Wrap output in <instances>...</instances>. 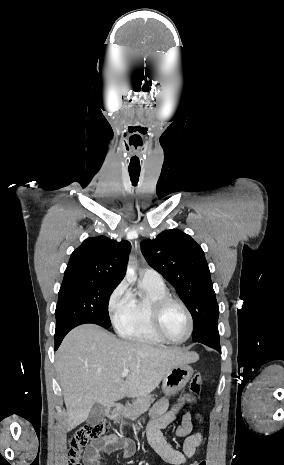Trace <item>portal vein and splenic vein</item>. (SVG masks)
Segmentation results:
<instances>
[{
  "label": "portal vein and splenic vein",
  "instance_id": "portal-vein-and-splenic-vein-1",
  "mask_svg": "<svg viewBox=\"0 0 284 465\" xmlns=\"http://www.w3.org/2000/svg\"><path fill=\"white\" fill-rule=\"evenodd\" d=\"M129 373V369H123L122 377H128Z\"/></svg>",
  "mask_w": 284,
  "mask_h": 465
}]
</instances>
